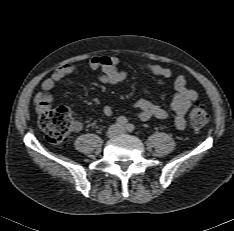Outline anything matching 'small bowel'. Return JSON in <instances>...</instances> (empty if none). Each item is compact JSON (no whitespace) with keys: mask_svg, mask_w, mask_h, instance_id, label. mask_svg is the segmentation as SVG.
Returning a JSON list of instances; mask_svg holds the SVG:
<instances>
[{"mask_svg":"<svg viewBox=\"0 0 234 231\" xmlns=\"http://www.w3.org/2000/svg\"><path fill=\"white\" fill-rule=\"evenodd\" d=\"M119 59L112 55H100L90 58L84 65L68 63L58 67L50 77L46 78L41 89L34 96V105L38 111L48 110L53 104L52 90L54 86L68 75L74 74L82 67L93 71H99V80L105 84L117 85L128 78V73L118 69ZM143 68L151 74L163 78L172 76L171 69L157 64H145ZM175 95L171 101V110L174 113V125L176 129L183 130L186 127L185 115L190 106L198 99L195 90L187 87V80L184 75H178L173 82ZM133 107L136 109V115L139 120L145 122L150 119L165 120L168 118V112L160 105L151 102L145 98L137 99ZM106 116H112L114 108L106 105L103 108ZM72 129L79 131L82 129V123L76 121Z\"/></svg>","mask_w":234,"mask_h":231,"instance_id":"obj_1","label":"small bowel"}]
</instances>
